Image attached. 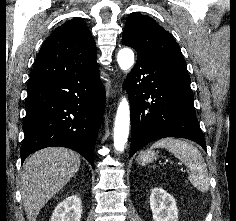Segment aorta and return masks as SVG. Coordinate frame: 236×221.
<instances>
[{
  "mask_svg": "<svg viewBox=\"0 0 236 221\" xmlns=\"http://www.w3.org/2000/svg\"><path fill=\"white\" fill-rule=\"evenodd\" d=\"M119 67L123 71L129 70L134 64V53L130 48H122L117 55ZM114 148L116 151L124 150L129 135L130 108L124 97L119 103L114 123Z\"/></svg>",
  "mask_w": 236,
  "mask_h": 221,
  "instance_id": "762f6f07",
  "label": "aorta"
}]
</instances>
